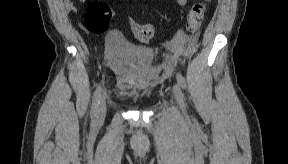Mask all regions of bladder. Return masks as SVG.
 I'll return each instance as SVG.
<instances>
[{"instance_id":"31cf9c89","label":"bladder","mask_w":288,"mask_h":164,"mask_svg":"<svg viewBox=\"0 0 288 164\" xmlns=\"http://www.w3.org/2000/svg\"><path fill=\"white\" fill-rule=\"evenodd\" d=\"M105 56L118 81L117 92L126 95L138 89L150 70L155 53L146 45H136L122 39L106 44Z\"/></svg>"}]
</instances>
